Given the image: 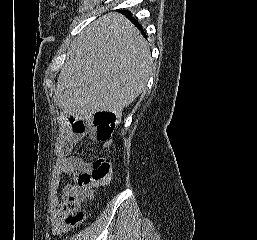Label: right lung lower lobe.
<instances>
[{
    "label": "right lung lower lobe",
    "mask_w": 257,
    "mask_h": 240,
    "mask_svg": "<svg viewBox=\"0 0 257 240\" xmlns=\"http://www.w3.org/2000/svg\"><path fill=\"white\" fill-rule=\"evenodd\" d=\"M123 13H124L126 16H128V17L132 20V22H133L139 29H141V25L137 22V20H134V19L132 18V14L130 13V11H123Z\"/></svg>",
    "instance_id": "1"
}]
</instances>
